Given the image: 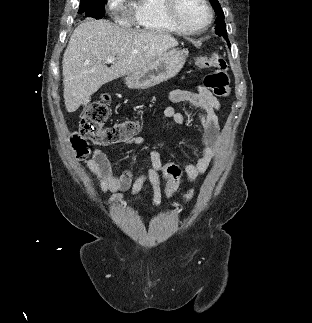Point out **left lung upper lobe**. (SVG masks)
<instances>
[{"label": "left lung upper lobe", "instance_id": "left-lung-upper-lobe-1", "mask_svg": "<svg viewBox=\"0 0 312 323\" xmlns=\"http://www.w3.org/2000/svg\"><path fill=\"white\" fill-rule=\"evenodd\" d=\"M209 1L211 2L213 9L215 10V13L218 14V17L216 20V27H215L216 34L224 37L228 42V45H230V42L227 37L226 24L224 22V13L222 11V8L218 0H209Z\"/></svg>", "mask_w": 312, "mask_h": 323}]
</instances>
